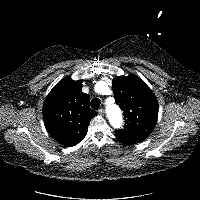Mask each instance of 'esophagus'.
<instances>
[{
  "label": "esophagus",
  "mask_w": 200,
  "mask_h": 200,
  "mask_svg": "<svg viewBox=\"0 0 200 200\" xmlns=\"http://www.w3.org/2000/svg\"><path fill=\"white\" fill-rule=\"evenodd\" d=\"M98 113H99L100 115H104V109H103V108H100V109L98 110Z\"/></svg>",
  "instance_id": "34e87169"
}]
</instances>
